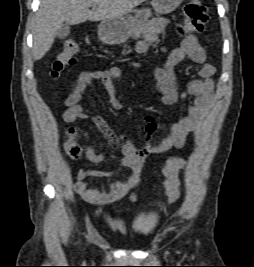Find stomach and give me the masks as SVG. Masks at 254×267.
<instances>
[{"label": "stomach", "instance_id": "stomach-1", "mask_svg": "<svg viewBox=\"0 0 254 267\" xmlns=\"http://www.w3.org/2000/svg\"><path fill=\"white\" fill-rule=\"evenodd\" d=\"M182 0H152L151 6L158 14L173 12ZM151 17V9H133L130 12L112 19L102 20L98 25L99 39L108 44L125 42L138 27L143 26Z\"/></svg>", "mask_w": 254, "mask_h": 267}]
</instances>
